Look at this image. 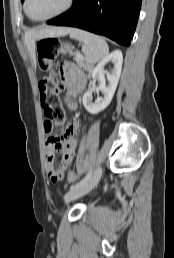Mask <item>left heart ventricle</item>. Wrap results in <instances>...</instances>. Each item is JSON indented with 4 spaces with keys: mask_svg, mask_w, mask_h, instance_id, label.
<instances>
[{
    "mask_svg": "<svg viewBox=\"0 0 174 258\" xmlns=\"http://www.w3.org/2000/svg\"><path fill=\"white\" fill-rule=\"evenodd\" d=\"M67 0H29L28 12L33 18H41L60 10Z\"/></svg>",
    "mask_w": 174,
    "mask_h": 258,
    "instance_id": "left-heart-ventricle-1",
    "label": "left heart ventricle"
}]
</instances>
